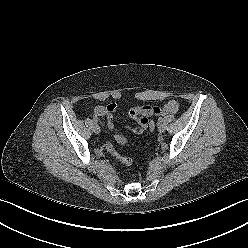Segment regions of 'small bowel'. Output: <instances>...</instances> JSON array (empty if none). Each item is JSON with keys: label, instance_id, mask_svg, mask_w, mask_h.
Wrapping results in <instances>:
<instances>
[{"label": "small bowel", "instance_id": "c3829d8e", "mask_svg": "<svg viewBox=\"0 0 248 248\" xmlns=\"http://www.w3.org/2000/svg\"><path fill=\"white\" fill-rule=\"evenodd\" d=\"M118 106L116 103H110L106 106H97L94 110L95 118L106 117L107 127L112 130L113 124V113L117 110ZM178 109V105L175 101H169L164 106H140L134 107L130 110L129 115L132 119L136 120V126H126L128 130L135 134H141L148 128L149 118L152 116H159L167 113H174Z\"/></svg>", "mask_w": 248, "mask_h": 248}]
</instances>
